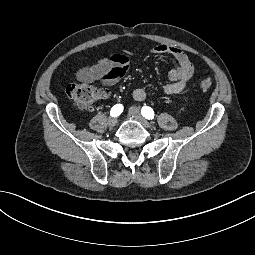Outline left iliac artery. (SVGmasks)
I'll use <instances>...</instances> for the list:
<instances>
[{"mask_svg": "<svg viewBox=\"0 0 255 255\" xmlns=\"http://www.w3.org/2000/svg\"><path fill=\"white\" fill-rule=\"evenodd\" d=\"M141 114L148 120H152L154 118V111L149 106H143L141 109Z\"/></svg>", "mask_w": 255, "mask_h": 255, "instance_id": "left-iliac-artery-1", "label": "left iliac artery"}]
</instances>
